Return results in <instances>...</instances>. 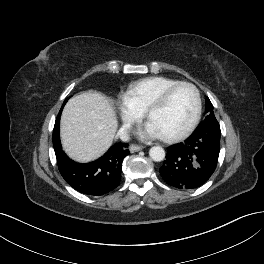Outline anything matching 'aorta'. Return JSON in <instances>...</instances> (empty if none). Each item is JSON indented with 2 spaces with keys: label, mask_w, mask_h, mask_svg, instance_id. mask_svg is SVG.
<instances>
[{
  "label": "aorta",
  "mask_w": 264,
  "mask_h": 264,
  "mask_svg": "<svg viewBox=\"0 0 264 264\" xmlns=\"http://www.w3.org/2000/svg\"><path fill=\"white\" fill-rule=\"evenodd\" d=\"M149 156L155 162H161L165 159V150L160 146H153L149 150Z\"/></svg>",
  "instance_id": "obj_1"
}]
</instances>
